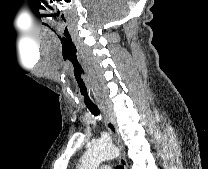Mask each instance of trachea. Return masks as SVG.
I'll return each mask as SVG.
<instances>
[{"label": "trachea", "instance_id": "3493384b", "mask_svg": "<svg viewBox=\"0 0 208 169\" xmlns=\"http://www.w3.org/2000/svg\"><path fill=\"white\" fill-rule=\"evenodd\" d=\"M87 108L94 116H98L100 114L99 109L96 105H87ZM116 169H123V167L117 166Z\"/></svg>", "mask_w": 208, "mask_h": 169}]
</instances>
